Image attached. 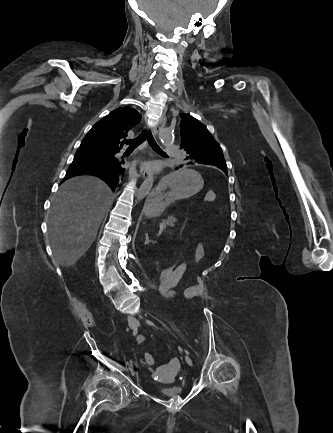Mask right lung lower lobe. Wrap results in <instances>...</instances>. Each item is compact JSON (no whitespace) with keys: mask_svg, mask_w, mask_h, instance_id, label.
<instances>
[{"mask_svg":"<svg viewBox=\"0 0 333 433\" xmlns=\"http://www.w3.org/2000/svg\"><path fill=\"white\" fill-rule=\"evenodd\" d=\"M93 147L88 141H82L80 146ZM116 154V153H115ZM124 160L113 156L92 157L75 155L66 172L63 181L77 175L90 174L104 180L114 191L120 175H124Z\"/></svg>","mask_w":333,"mask_h":433,"instance_id":"obj_1","label":"right lung lower lobe"}]
</instances>
